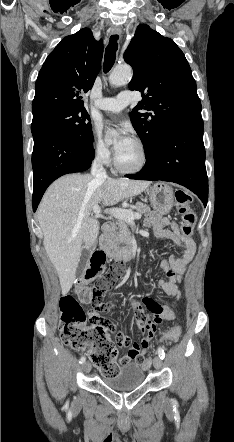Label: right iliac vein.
<instances>
[{
	"mask_svg": "<svg viewBox=\"0 0 234 442\" xmlns=\"http://www.w3.org/2000/svg\"><path fill=\"white\" fill-rule=\"evenodd\" d=\"M90 370H91V364L89 362H84L82 364L83 373L88 374L90 372Z\"/></svg>",
	"mask_w": 234,
	"mask_h": 442,
	"instance_id": "63e3f726",
	"label": "right iliac vein"
}]
</instances>
